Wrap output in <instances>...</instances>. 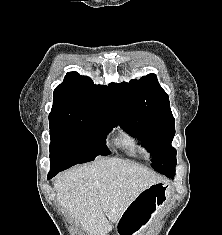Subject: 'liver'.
Masks as SVG:
<instances>
[{
  "label": "liver",
  "mask_w": 222,
  "mask_h": 235,
  "mask_svg": "<svg viewBox=\"0 0 222 235\" xmlns=\"http://www.w3.org/2000/svg\"><path fill=\"white\" fill-rule=\"evenodd\" d=\"M158 182L156 173L120 158H100L57 175V200L88 235H107L140 192Z\"/></svg>",
  "instance_id": "liver-1"
}]
</instances>
